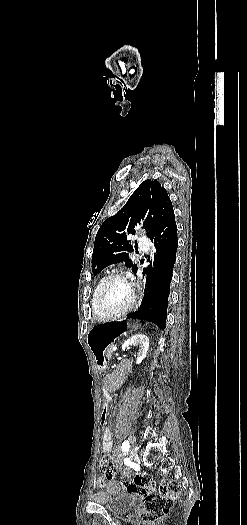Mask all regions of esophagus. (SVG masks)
Returning a JSON list of instances; mask_svg holds the SVG:
<instances>
[{
    "label": "esophagus",
    "instance_id": "1",
    "mask_svg": "<svg viewBox=\"0 0 247 525\" xmlns=\"http://www.w3.org/2000/svg\"><path fill=\"white\" fill-rule=\"evenodd\" d=\"M144 288H145V284H144V282H143V284H142L141 287H140V293H139V298H138V305H139L140 302L142 301L143 294H144Z\"/></svg>",
    "mask_w": 247,
    "mask_h": 525
}]
</instances>
